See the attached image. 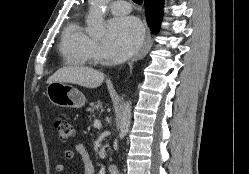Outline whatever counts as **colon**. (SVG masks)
<instances>
[{
    "label": "colon",
    "instance_id": "1",
    "mask_svg": "<svg viewBox=\"0 0 249 174\" xmlns=\"http://www.w3.org/2000/svg\"><path fill=\"white\" fill-rule=\"evenodd\" d=\"M54 128L62 142L69 141L74 135L73 125L64 117L54 118Z\"/></svg>",
    "mask_w": 249,
    "mask_h": 174
}]
</instances>
